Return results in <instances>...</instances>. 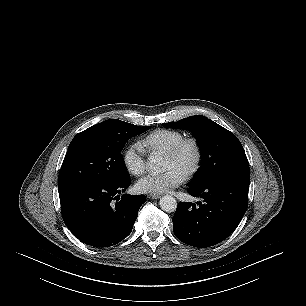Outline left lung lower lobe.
I'll return each instance as SVG.
<instances>
[{"label":"left lung lower lobe","mask_w":306,"mask_h":306,"mask_svg":"<svg viewBox=\"0 0 306 306\" xmlns=\"http://www.w3.org/2000/svg\"><path fill=\"white\" fill-rule=\"evenodd\" d=\"M249 184L250 176H226L190 186L188 193L204 200L178 204L172 218L177 238L200 248L226 239L247 210Z\"/></svg>","instance_id":"1"}]
</instances>
